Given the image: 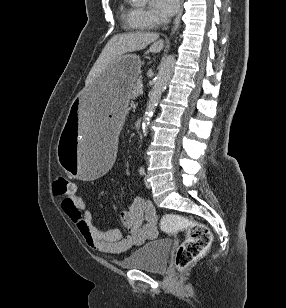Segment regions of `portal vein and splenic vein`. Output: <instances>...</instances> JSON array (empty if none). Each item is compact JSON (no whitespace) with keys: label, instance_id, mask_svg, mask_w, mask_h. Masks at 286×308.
<instances>
[{"label":"portal vein and splenic vein","instance_id":"obj_1","mask_svg":"<svg viewBox=\"0 0 286 308\" xmlns=\"http://www.w3.org/2000/svg\"><path fill=\"white\" fill-rule=\"evenodd\" d=\"M139 93H140V94H142V93H143V89H142V88L139 90Z\"/></svg>","mask_w":286,"mask_h":308}]
</instances>
